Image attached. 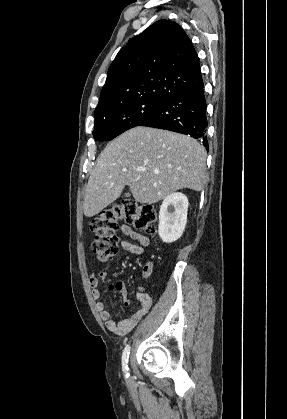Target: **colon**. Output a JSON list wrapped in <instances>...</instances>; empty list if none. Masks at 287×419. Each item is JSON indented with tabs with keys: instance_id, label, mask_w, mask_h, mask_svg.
Returning a JSON list of instances; mask_svg holds the SVG:
<instances>
[{
	"instance_id": "obj_1",
	"label": "colon",
	"mask_w": 287,
	"mask_h": 419,
	"mask_svg": "<svg viewBox=\"0 0 287 419\" xmlns=\"http://www.w3.org/2000/svg\"><path fill=\"white\" fill-rule=\"evenodd\" d=\"M156 220L157 211L154 207L133 199H122L103 210L91 221L90 230L94 234L91 244L93 255L99 261H106L117 252L116 233L120 221L152 234L155 232Z\"/></svg>"
}]
</instances>
